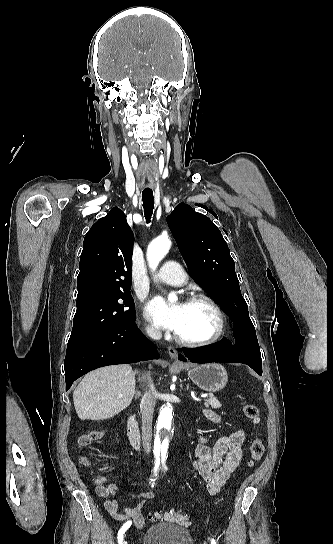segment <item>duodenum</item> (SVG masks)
Returning a JSON list of instances; mask_svg holds the SVG:
<instances>
[{
	"label": "duodenum",
	"mask_w": 333,
	"mask_h": 544,
	"mask_svg": "<svg viewBox=\"0 0 333 544\" xmlns=\"http://www.w3.org/2000/svg\"><path fill=\"white\" fill-rule=\"evenodd\" d=\"M127 432L129 440L135 448H139L141 444V435L137 420L133 414H130L127 419Z\"/></svg>",
	"instance_id": "1"
}]
</instances>
